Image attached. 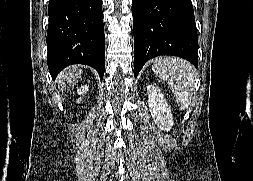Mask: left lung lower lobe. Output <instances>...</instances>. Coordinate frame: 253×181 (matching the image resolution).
Instances as JSON below:
<instances>
[{
  "label": "left lung lower lobe",
  "instance_id": "1",
  "mask_svg": "<svg viewBox=\"0 0 253 181\" xmlns=\"http://www.w3.org/2000/svg\"><path fill=\"white\" fill-rule=\"evenodd\" d=\"M134 76L151 58L182 57L198 67V37L191 0H132Z\"/></svg>",
  "mask_w": 253,
  "mask_h": 181
}]
</instances>
